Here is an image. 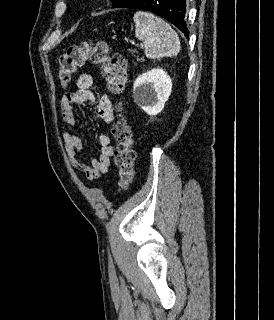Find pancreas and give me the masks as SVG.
<instances>
[{
  "instance_id": "obj_1",
  "label": "pancreas",
  "mask_w": 274,
  "mask_h": 320,
  "mask_svg": "<svg viewBox=\"0 0 274 320\" xmlns=\"http://www.w3.org/2000/svg\"><path fill=\"white\" fill-rule=\"evenodd\" d=\"M139 62H145L144 58H140Z\"/></svg>"
}]
</instances>
